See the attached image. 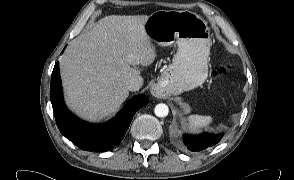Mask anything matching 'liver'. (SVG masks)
I'll use <instances>...</instances> for the list:
<instances>
[{"instance_id":"obj_1","label":"liver","mask_w":294,"mask_h":180,"mask_svg":"<svg viewBox=\"0 0 294 180\" xmlns=\"http://www.w3.org/2000/svg\"><path fill=\"white\" fill-rule=\"evenodd\" d=\"M147 15H110L72 40L59 58L68 106L100 121L129 96L127 82L156 58L144 25Z\"/></svg>"}]
</instances>
